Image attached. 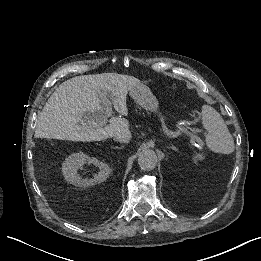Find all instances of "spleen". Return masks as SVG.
Masks as SVG:
<instances>
[{"mask_svg":"<svg viewBox=\"0 0 261 261\" xmlns=\"http://www.w3.org/2000/svg\"><path fill=\"white\" fill-rule=\"evenodd\" d=\"M201 115L202 126L206 130L204 135L207 149L215 154H232L234 141L220 115L208 106L202 108ZM191 159L199 163L206 159V155L202 152L192 153Z\"/></svg>","mask_w":261,"mask_h":261,"instance_id":"3e777b00","label":"spleen"}]
</instances>
